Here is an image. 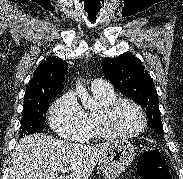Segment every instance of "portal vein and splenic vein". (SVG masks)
Listing matches in <instances>:
<instances>
[{
	"mask_svg": "<svg viewBox=\"0 0 183 179\" xmlns=\"http://www.w3.org/2000/svg\"><path fill=\"white\" fill-rule=\"evenodd\" d=\"M68 171H69L68 168H63V169H61V173H62V174H66Z\"/></svg>",
	"mask_w": 183,
	"mask_h": 179,
	"instance_id": "18ae733b",
	"label": "portal vein and splenic vein"
}]
</instances>
